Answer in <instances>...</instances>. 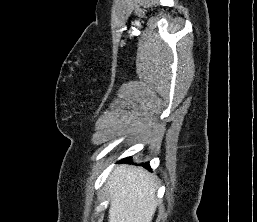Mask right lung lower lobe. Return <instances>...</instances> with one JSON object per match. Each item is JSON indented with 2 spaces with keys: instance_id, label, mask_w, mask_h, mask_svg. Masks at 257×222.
<instances>
[{
  "instance_id": "right-lung-lower-lobe-1",
  "label": "right lung lower lobe",
  "mask_w": 257,
  "mask_h": 222,
  "mask_svg": "<svg viewBox=\"0 0 257 222\" xmlns=\"http://www.w3.org/2000/svg\"><path fill=\"white\" fill-rule=\"evenodd\" d=\"M123 161L130 162V158H126ZM143 166L146 167V168H149V164L148 163L143 164Z\"/></svg>"
}]
</instances>
